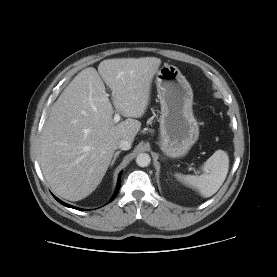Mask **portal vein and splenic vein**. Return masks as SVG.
<instances>
[{"label": "portal vein and splenic vein", "instance_id": "18ae733b", "mask_svg": "<svg viewBox=\"0 0 277 277\" xmlns=\"http://www.w3.org/2000/svg\"><path fill=\"white\" fill-rule=\"evenodd\" d=\"M120 119H121L120 115H119L118 113H116V114L114 115V122H115V123H118V122L120 121Z\"/></svg>", "mask_w": 277, "mask_h": 277}]
</instances>
